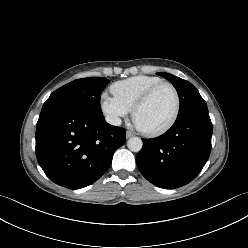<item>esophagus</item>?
Masks as SVG:
<instances>
[{
	"mask_svg": "<svg viewBox=\"0 0 248 248\" xmlns=\"http://www.w3.org/2000/svg\"><path fill=\"white\" fill-rule=\"evenodd\" d=\"M132 136H133V133L132 132H130V131H127L126 132V138H130Z\"/></svg>",
	"mask_w": 248,
	"mask_h": 248,
	"instance_id": "1",
	"label": "esophagus"
}]
</instances>
